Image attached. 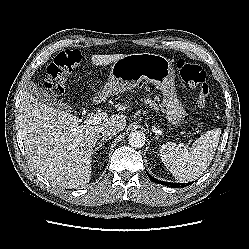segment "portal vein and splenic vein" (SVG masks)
Masks as SVG:
<instances>
[{
    "instance_id": "obj_1",
    "label": "portal vein and splenic vein",
    "mask_w": 249,
    "mask_h": 249,
    "mask_svg": "<svg viewBox=\"0 0 249 249\" xmlns=\"http://www.w3.org/2000/svg\"><path fill=\"white\" fill-rule=\"evenodd\" d=\"M106 119L105 113H96L92 116H90L88 119H86L87 124H98L101 121H104Z\"/></svg>"
}]
</instances>
